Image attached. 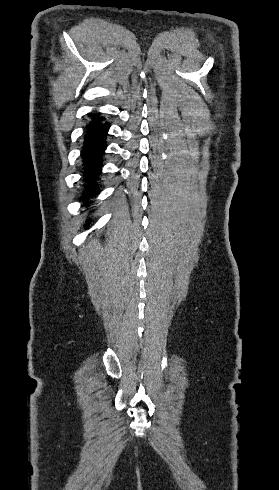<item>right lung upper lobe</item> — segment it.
Instances as JSON below:
<instances>
[{"label":"right lung upper lobe","instance_id":"right-lung-upper-lobe-1","mask_svg":"<svg viewBox=\"0 0 279 490\" xmlns=\"http://www.w3.org/2000/svg\"><path fill=\"white\" fill-rule=\"evenodd\" d=\"M103 121H104L103 117H100L99 115L94 116L92 118V121L86 126V132L93 131L102 125L108 124L107 122H103Z\"/></svg>","mask_w":279,"mask_h":490}]
</instances>
